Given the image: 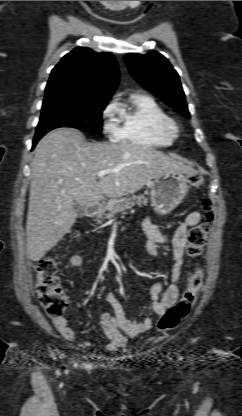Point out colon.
Instances as JSON below:
<instances>
[{
    "label": "colon",
    "mask_w": 242,
    "mask_h": 416,
    "mask_svg": "<svg viewBox=\"0 0 242 416\" xmlns=\"http://www.w3.org/2000/svg\"><path fill=\"white\" fill-rule=\"evenodd\" d=\"M202 177L198 174L191 175L189 182L194 187L202 184ZM203 208L206 212V221L194 225L188 236V254L192 258H198L203 252L209 223L213 220L211 203L204 200ZM57 260L53 255H47L39 260L37 266L36 293L40 305L47 315L52 318L63 316L67 307V298L57 275ZM203 286V271L196 267L191 272L187 286L179 301L168 307L158 321V329L165 331L176 327L191 311Z\"/></svg>",
    "instance_id": "obj_1"
}]
</instances>
